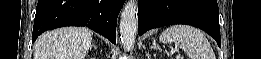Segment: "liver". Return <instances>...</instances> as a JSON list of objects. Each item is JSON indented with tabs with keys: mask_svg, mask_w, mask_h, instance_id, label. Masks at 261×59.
Here are the masks:
<instances>
[{
	"mask_svg": "<svg viewBox=\"0 0 261 59\" xmlns=\"http://www.w3.org/2000/svg\"><path fill=\"white\" fill-rule=\"evenodd\" d=\"M92 43L85 27H64L48 31L35 42L34 59H84Z\"/></svg>",
	"mask_w": 261,
	"mask_h": 59,
	"instance_id": "obj_1",
	"label": "liver"
}]
</instances>
